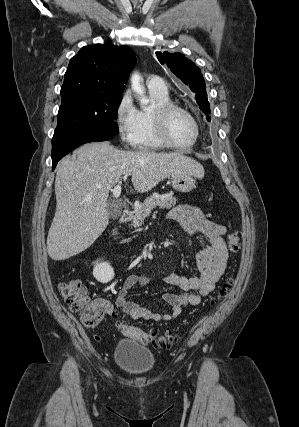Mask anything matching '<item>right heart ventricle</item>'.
<instances>
[{
  "label": "right heart ventricle",
  "instance_id": "1",
  "mask_svg": "<svg viewBox=\"0 0 299 427\" xmlns=\"http://www.w3.org/2000/svg\"><path fill=\"white\" fill-rule=\"evenodd\" d=\"M149 94L153 101V107L151 109L139 110L140 129L135 146L143 150H158L164 148V145L156 136L152 119V111L156 106L169 103L171 101L168 92L160 93L149 89Z\"/></svg>",
  "mask_w": 299,
  "mask_h": 427
}]
</instances>
